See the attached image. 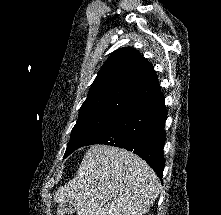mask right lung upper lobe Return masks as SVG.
<instances>
[{"mask_svg": "<svg viewBox=\"0 0 221 215\" xmlns=\"http://www.w3.org/2000/svg\"><path fill=\"white\" fill-rule=\"evenodd\" d=\"M160 93L152 65L135 49L116 50L103 64L80 113L124 116Z\"/></svg>", "mask_w": 221, "mask_h": 215, "instance_id": "obj_1", "label": "right lung upper lobe"}]
</instances>
